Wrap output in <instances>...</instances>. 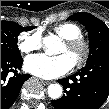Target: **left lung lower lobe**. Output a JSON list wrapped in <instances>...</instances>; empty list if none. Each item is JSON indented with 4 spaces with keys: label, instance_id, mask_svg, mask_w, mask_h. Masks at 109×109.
Listing matches in <instances>:
<instances>
[{
    "label": "left lung lower lobe",
    "instance_id": "left-lung-lower-lobe-1",
    "mask_svg": "<svg viewBox=\"0 0 109 109\" xmlns=\"http://www.w3.org/2000/svg\"><path fill=\"white\" fill-rule=\"evenodd\" d=\"M58 82L63 85L64 92L78 87L81 98L69 103L63 95L52 101L55 109H99L109 96V56L88 62L81 71Z\"/></svg>",
    "mask_w": 109,
    "mask_h": 109
}]
</instances>
